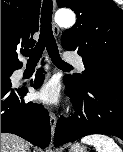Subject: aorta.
Here are the masks:
<instances>
[{
    "label": "aorta",
    "instance_id": "aorta-1",
    "mask_svg": "<svg viewBox=\"0 0 123 152\" xmlns=\"http://www.w3.org/2000/svg\"><path fill=\"white\" fill-rule=\"evenodd\" d=\"M75 20V14L70 10H60L55 15V21L60 27H72Z\"/></svg>",
    "mask_w": 123,
    "mask_h": 152
}]
</instances>
